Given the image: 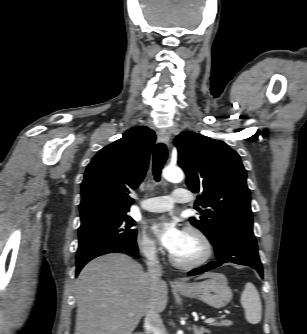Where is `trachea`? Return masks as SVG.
I'll use <instances>...</instances> for the list:
<instances>
[{
	"label": "trachea",
	"instance_id": "3493384b",
	"mask_svg": "<svg viewBox=\"0 0 307 334\" xmlns=\"http://www.w3.org/2000/svg\"><path fill=\"white\" fill-rule=\"evenodd\" d=\"M167 160V148L163 143L155 146L153 152V175L156 181H160L161 171Z\"/></svg>",
	"mask_w": 307,
	"mask_h": 334
}]
</instances>
